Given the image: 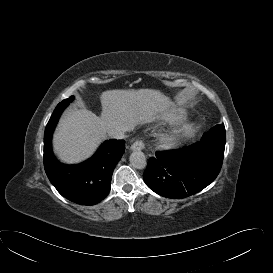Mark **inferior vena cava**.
Instances as JSON below:
<instances>
[{"label":"inferior vena cava","mask_w":273,"mask_h":273,"mask_svg":"<svg viewBox=\"0 0 273 273\" xmlns=\"http://www.w3.org/2000/svg\"><path fill=\"white\" fill-rule=\"evenodd\" d=\"M108 135H109L111 138H114V139H123V138H125L124 131L119 130V129H112V130H109V131H108Z\"/></svg>","instance_id":"602c4592"}]
</instances>
